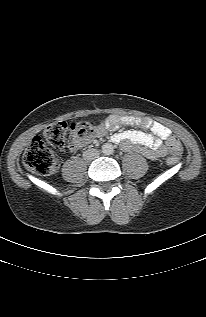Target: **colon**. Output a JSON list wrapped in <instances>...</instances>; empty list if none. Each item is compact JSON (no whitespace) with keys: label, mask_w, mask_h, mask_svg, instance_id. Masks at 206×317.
I'll list each match as a JSON object with an SVG mask.
<instances>
[{"label":"colon","mask_w":206,"mask_h":317,"mask_svg":"<svg viewBox=\"0 0 206 317\" xmlns=\"http://www.w3.org/2000/svg\"><path fill=\"white\" fill-rule=\"evenodd\" d=\"M97 129L87 123L65 121L57 122L48 126L42 136H36L28 146L23 155V164L31 172L38 175L49 176L58 171V160L50 147L62 148L68 139L72 142L88 141L96 135ZM170 157L167 162L176 164L182 153L179 139L171 136L167 141Z\"/></svg>","instance_id":"colon-1"}]
</instances>
